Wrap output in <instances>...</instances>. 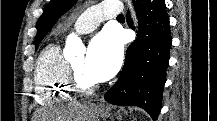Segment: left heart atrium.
I'll return each instance as SVG.
<instances>
[{
	"label": "left heart atrium",
	"instance_id": "left-heart-atrium-1",
	"mask_svg": "<svg viewBox=\"0 0 217 121\" xmlns=\"http://www.w3.org/2000/svg\"><path fill=\"white\" fill-rule=\"evenodd\" d=\"M122 47L118 35L106 29L90 43L86 56V71L96 82L110 79L118 71Z\"/></svg>",
	"mask_w": 217,
	"mask_h": 121
}]
</instances>
